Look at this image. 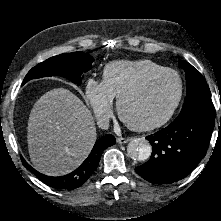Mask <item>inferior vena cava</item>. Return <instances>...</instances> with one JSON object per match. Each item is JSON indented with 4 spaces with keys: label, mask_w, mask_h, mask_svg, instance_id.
<instances>
[{
    "label": "inferior vena cava",
    "mask_w": 221,
    "mask_h": 221,
    "mask_svg": "<svg viewBox=\"0 0 221 221\" xmlns=\"http://www.w3.org/2000/svg\"><path fill=\"white\" fill-rule=\"evenodd\" d=\"M97 124H98L99 128H101V129H108L109 119L108 118H100V119H98Z\"/></svg>",
    "instance_id": "1"
}]
</instances>
